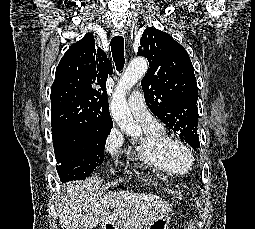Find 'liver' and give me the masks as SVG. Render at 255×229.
<instances>
[{"mask_svg":"<svg viewBox=\"0 0 255 229\" xmlns=\"http://www.w3.org/2000/svg\"><path fill=\"white\" fill-rule=\"evenodd\" d=\"M98 188L96 176L64 185L67 195L58 196L62 229H92L104 223L143 229L159 215L171 211V205L155 194L121 190L101 196ZM110 208H113L111 214Z\"/></svg>","mask_w":255,"mask_h":229,"instance_id":"liver-1","label":"liver"}]
</instances>
